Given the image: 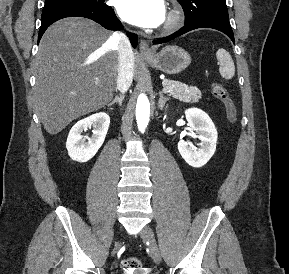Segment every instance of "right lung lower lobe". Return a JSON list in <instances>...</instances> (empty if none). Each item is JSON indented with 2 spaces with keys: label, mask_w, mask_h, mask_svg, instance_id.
<instances>
[{
  "label": "right lung lower lobe",
  "mask_w": 289,
  "mask_h": 274,
  "mask_svg": "<svg viewBox=\"0 0 289 274\" xmlns=\"http://www.w3.org/2000/svg\"><path fill=\"white\" fill-rule=\"evenodd\" d=\"M84 17L89 18L109 30H121L123 28L119 19L115 16L114 10L111 6H106L103 9H93L82 6H63L43 10L41 27L38 34V41L41 39L43 33L52 23L66 17ZM131 44L134 48L137 46V35L128 33Z\"/></svg>",
  "instance_id": "obj_1"
}]
</instances>
